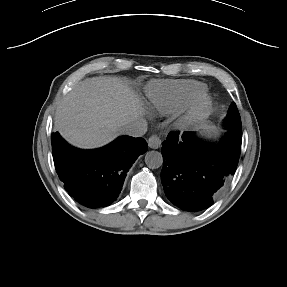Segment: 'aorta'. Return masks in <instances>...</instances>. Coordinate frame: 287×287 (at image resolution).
I'll return each instance as SVG.
<instances>
[{"instance_id":"aorta-1","label":"aorta","mask_w":287,"mask_h":287,"mask_svg":"<svg viewBox=\"0 0 287 287\" xmlns=\"http://www.w3.org/2000/svg\"><path fill=\"white\" fill-rule=\"evenodd\" d=\"M145 163L150 169H157L163 164L162 154L158 151H149L145 155Z\"/></svg>"}]
</instances>
